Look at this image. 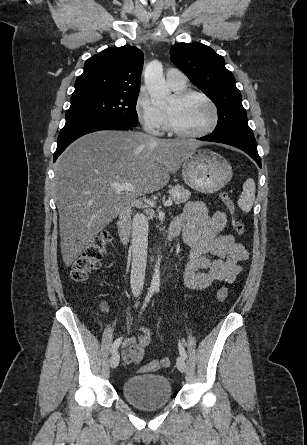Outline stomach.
<instances>
[{
  "mask_svg": "<svg viewBox=\"0 0 307 445\" xmlns=\"http://www.w3.org/2000/svg\"><path fill=\"white\" fill-rule=\"evenodd\" d=\"M232 174L228 160L209 148H194L182 164L184 182L204 194L221 190L231 180Z\"/></svg>",
  "mask_w": 307,
  "mask_h": 445,
  "instance_id": "obj_1",
  "label": "stomach"
}]
</instances>
